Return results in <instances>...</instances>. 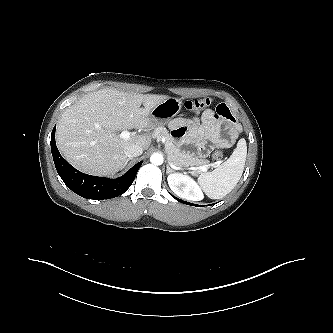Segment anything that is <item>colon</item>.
Segmentation results:
<instances>
[{"label":"colon","instance_id":"1","mask_svg":"<svg viewBox=\"0 0 333 333\" xmlns=\"http://www.w3.org/2000/svg\"><path fill=\"white\" fill-rule=\"evenodd\" d=\"M211 101L209 98H197L193 100H188L184 103V106L187 110L190 111H201L207 108L210 105ZM224 151L218 149L214 152L213 157L215 160H222L224 158Z\"/></svg>","mask_w":333,"mask_h":333}]
</instances>
